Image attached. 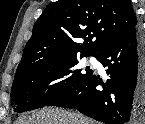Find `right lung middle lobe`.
<instances>
[{"label":"right lung middle lobe","mask_w":145,"mask_h":124,"mask_svg":"<svg viewBox=\"0 0 145 124\" xmlns=\"http://www.w3.org/2000/svg\"><path fill=\"white\" fill-rule=\"evenodd\" d=\"M86 56L91 55H80V58ZM77 65V55L55 58L43 61L15 77L11 91L15 111L44 107L91 74L89 66L77 69Z\"/></svg>","instance_id":"1"}]
</instances>
